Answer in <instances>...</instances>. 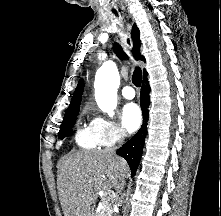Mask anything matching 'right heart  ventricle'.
Returning <instances> with one entry per match:
<instances>
[{"instance_id":"right-heart-ventricle-1","label":"right heart ventricle","mask_w":221,"mask_h":216,"mask_svg":"<svg viewBox=\"0 0 221 216\" xmlns=\"http://www.w3.org/2000/svg\"><path fill=\"white\" fill-rule=\"evenodd\" d=\"M75 142L84 149H95L99 146L92 135L90 127L79 128L75 134Z\"/></svg>"}]
</instances>
